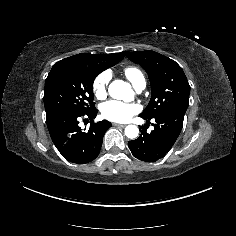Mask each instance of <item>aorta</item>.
<instances>
[{"label":"aorta","instance_id":"1","mask_svg":"<svg viewBox=\"0 0 236 236\" xmlns=\"http://www.w3.org/2000/svg\"><path fill=\"white\" fill-rule=\"evenodd\" d=\"M123 81L121 80H115L113 81L110 86H109V94L111 95V97H114V89L115 87H117L119 84H121ZM124 133L126 135V137L130 138V139H134L138 136L139 134V129L136 125H128L125 127Z\"/></svg>","mask_w":236,"mask_h":236}]
</instances>
